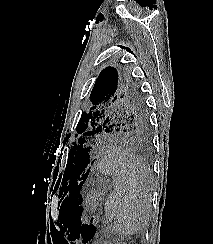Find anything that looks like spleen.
<instances>
[{
	"label": "spleen",
	"instance_id": "3e777b00",
	"mask_svg": "<svg viewBox=\"0 0 213 244\" xmlns=\"http://www.w3.org/2000/svg\"><path fill=\"white\" fill-rule=\"evenodd\" d=\"M101 168L113 177L114 190L104 206L112 231L123 236L139 233L146 224L151 205L148 170L127 153L110 155L101 163Z\"/></svg>",
	"mask_w": 213,
	"mask_h": 244
}]
</instances>
